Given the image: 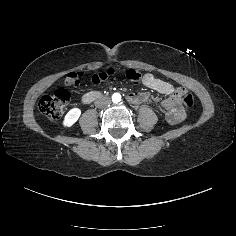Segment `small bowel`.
Returning <instances> with one entry per match:
<instances>
[{
    "mask_svg": "<svg viewBox=\"0 0 236 236\" xmlns=\"http://www.w3.org/2000/svg\"><path fill=\"white\" fill-rule=\"evenodd\" d=\"M145 84L149 87H160V85H158L156 82L152 81L150 78H146L145 79Z\"/></svg>",
    "mask_w": 236,
    "mask_h": 236,
    "instance_id": "c3829d8e",
    "label": "small bowel"
}]
</instances>
